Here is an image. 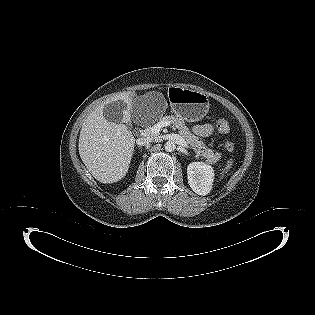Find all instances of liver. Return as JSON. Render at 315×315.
Returning <instances> with one entry per match:
<instances>
[{"instance_id":"1","label":"liver","mask_w":315,"mask_h":315,"mask_svg":"<svg viewBox=\"0 0 315 315\" xmlns=\"http://www.w3.org/2000/svg\"><path fill=\"white\" fill-rule=\"evenodd\" d=\"M122 100L126 106L121 123L106 120V104ZM133 106L129 93L114 96L97 106L85 119L79 137V154L91 175L101 183L120 181L128 172L135 138L127 126Z\"/></svg>"}]
</instances>
